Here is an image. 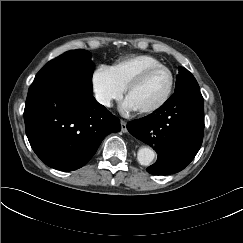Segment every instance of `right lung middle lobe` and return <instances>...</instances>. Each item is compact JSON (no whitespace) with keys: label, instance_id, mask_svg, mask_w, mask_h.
<instances>
[{"label":"right lung middle lobe","instance_id":"right-lung-middle-lobe-1","mask_svg":"<svg viewBox=\"0 0 243 243\" xmlns=\"http://www.w3.org/2000/svg\"><path fill=\"white\" fill-rule=\"evenodd\" d=\"M95 64L86 50H74L64 53L48 62L34 80H49L60 83H72L92 88V75Z\"/></svg>","mask_w":243,"mask_h":243}]
</instances>
